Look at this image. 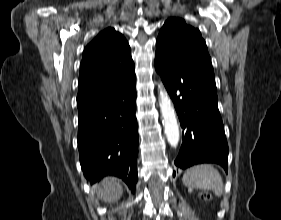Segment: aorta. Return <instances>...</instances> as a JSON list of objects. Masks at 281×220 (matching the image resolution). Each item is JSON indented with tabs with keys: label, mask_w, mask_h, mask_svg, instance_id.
<instances>
[{
	"label": "aorta",
	"mask_w": 281,
	"mask_h": 220,
	"mask_svg": "<svg viewBox=\"0 0 281 220\" xmlns=\"http://www.w3.org/2000/svg\"><path fill=\"white\" fill-rule=\"evenodd\" d=\"M159 100L167 140L171 146L176 147L179 143V126L176 113L170 97L161 86H159Z\"/></svg>",
	"instance_id": "762f6f07"
}]
</instances>
